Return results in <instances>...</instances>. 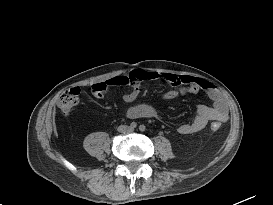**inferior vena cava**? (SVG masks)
I'll list each match as a JSON object with an SVG mask.
<instances>
[{
  "mask_svg": "<svg viewBox=\"0 0 273 205\" xmlns=\"http://www.w3.org/2000/svg\"><path fill=\"white\" fill-rule=\"evenodd\" d=\"M129 129L127 128V126H126V131H128Z\"/></svg>",
  "mask_w": 273,
  "mask_h": 205,
  "instance_id": "inferior-vena-cava-1",
  "label": "inferior vena cava"
}]
</instances>
